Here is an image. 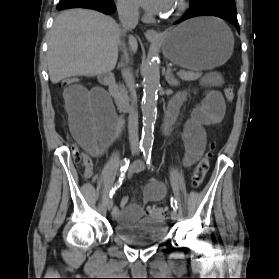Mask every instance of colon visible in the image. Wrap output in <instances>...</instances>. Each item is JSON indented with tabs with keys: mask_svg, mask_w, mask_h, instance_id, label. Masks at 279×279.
<instances>
[{
	"mask_svg": "<svg viewBox=\"0 0 279 279\" xmlns=\"http://www.w3.org/2000/svg\"><path fill=\"white\" fill-rule=\"evenodd\" d=\"M80 81V77H70L62 80L60 82V86L63 88L70 87L78 84ZM224 95L227 101H232L235 97L234 87L232 85H227L224 90ZM213 149L214 144L210 143L208 149L193 169L191 176V185L195 189L199 188L202 185L204 178L209 170V163ZM73 157L74 162L78 167L87 168L91 166V160L89 156L77 147L73 148ZM147 213L148 215L156 219H165L169 216V212L166 208L157 205L148 206Z\"/></svg>",
	"mask_w": 279,
	"mask_h": 279,
	"instance_id": "5ec220e1",
	"label": "colon"
}]
</instances>
